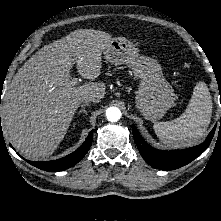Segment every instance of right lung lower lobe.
<instances>
[{
  "label": "right lung lower lobe",
  "instance_id": "right-lung-lower-lobe-1",
  "mask_svg": "<svg viewBox=\"0 0 221 221\" xmlns=\"http://www.w3.org/2000/svg\"><path fill=\"white\" fill-rule=\"evenodd\" d=\"M1 103V100H0ZM1 127V118H0ZM93 131H91L85 142L73 153L66 157L53 161H28L31 165L49 172H56L68 169L78 163L91 147Z\"/></svg>",
  "mask_w": 221,
  "mask_h": 221
}]
</instances>
